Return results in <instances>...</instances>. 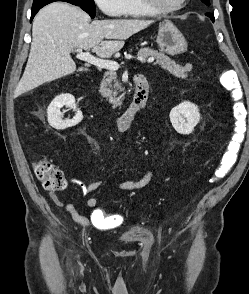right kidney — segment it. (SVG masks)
<instances>
[{"instance_id":"right-kidney-1","label":"right kidney","mask_w":249,"mask_h":294,"mask_svg":"<svg viewBox=\"0 0 249 294\" xmlns=\"http://www.w3.org/2000/svg\"><path fill=\"white\" fill-rule=\"evenodd\" d=\"M63 106L75 109L76 115L72 119L63 120L62 113L60 111ZM47 118L50 126L57 130H64L81 122L83 114L79 109H76L75 98L73 95L61 94L55 97L48 106Z\"/></svg>"}]
</instances>
